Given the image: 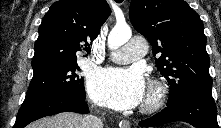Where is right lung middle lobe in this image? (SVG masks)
<instances>
[{
	"instance_id": "1",
	"label": "right lung middle lobe",
	"mask_w": 221,
	"mask_h": 128,
	"mask_svg": "<svg viewBox=\"0 0 221 128\" xmlns=\"http://www.w3.org/2000/svg\"><path fill=\"white\" fill-rule=\"evenodd\" d=\"M77 63L34 73L26 97L34 96L54 89H65L76 94L85 95L83 78L78 75Z\"/></svg>"
}]
</instances>
